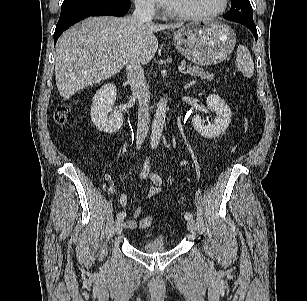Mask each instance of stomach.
<instances>
[{"label": "stomach", "instance_id": "obj_1", "mask_svg": "<svg viewBox=\"0 0 307 301\" xmlns=\"http://www.w3.org/2000/svg\"><path fill=\"white\" fill-rule=\"evenodd\" d=\"M181 54L198 65H214L225 60L236 43L234 31L222 22L189 23L174 33Z\"/></svg>", "mask_w": 307, "mask_h": 301}]
</instances>
